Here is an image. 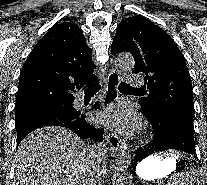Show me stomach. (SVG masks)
<instances>
[{
  "instance_id": "1",
  "label": "stomach",
  "mask_w": 207,
  "mask_h": 185,
  "mask_svg": "<svg viewBox=\"0 0 207 185\" xmlns=\"http://www.w3.org/2000/svg\"><path fill=\"white\" fill-rule=\"evenodd\" d=\"M176 169V160L172 157L150 156L136 167V174L143 180H154L167 177Z\"/></svg>"
}]
</instances>
